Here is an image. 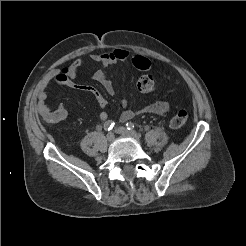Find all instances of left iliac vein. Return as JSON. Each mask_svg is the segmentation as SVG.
Returning <instances> with one entry per match:
<instances>
[{
    "label": "left iliac vein",
    "mask_w": 246,
    "mask_h": 246,
    "mask_svg": "<svg viewBox=\"0 0 246 246\" xmlns=\"http://www.w3.org/2000/svg\"><path fill=\"white\" fill-rule=\"evenodd\" d=\"M116 132L122 136H126V137H131L133 139H135L136 141H139V137L136 134V132L134 131H129L128 129H126L125 127H118L116 129Z\"/></svg>",
    "instance_id": "4c4485c4"
}]
</instances>
